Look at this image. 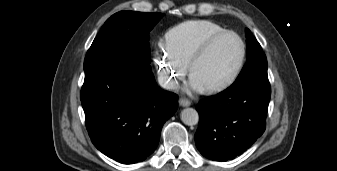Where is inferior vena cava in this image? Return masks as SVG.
<instances>
[{"label": "inferior vena cava", "instance_id": "obj_1", "mask_svg": "<svg viewBox=\"0 0 337 171\" xmlns=\"http://www.w3.org/2000/svg\"><path fill=\"white\" fill-rule=\"evenodd\" d=\"M158 82L159 85L165 89H176L178 87V82L170 79L167 74H160L158 76Z\"/></svg>", "mask_w": 337, "mask_h": 171}]
</instances>
